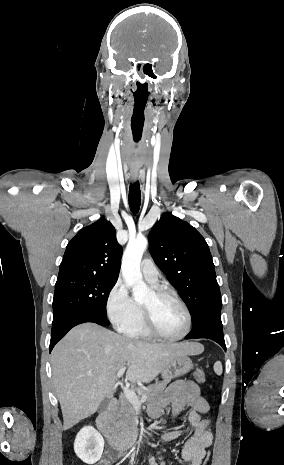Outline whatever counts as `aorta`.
I'll return each instance as SVG.
<instances>
[{
	"mask_svg": "<svg viewBox=\"0 0 284 465\" xmlns=\"http://www.w3.org/2000/svg\"><path fill=\"white\" fill-rule=\"evenodd\" d=\"M147 244V238L142 235L129 240L121 265L123 278L126 284L132 288L135 301L139 303L144 302L151 295L140 271V262Z\"/></svg>",
	"mask_w": 284,
	"mask_h": 465,
	"instance_id": "762f6f07",
	"label": "aorta"
}]
</instances>
